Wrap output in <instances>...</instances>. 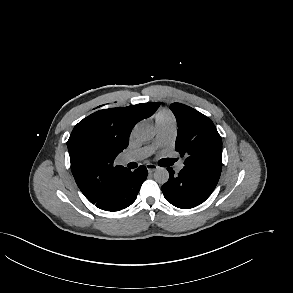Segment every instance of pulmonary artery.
Listing matches in <instances>:
<instances>
[{
	"instance_id": "pulmonary-artery-1",
	"label": "pulmonary artery",
	"mask_w": 293,
	"mask_h": 293,
	"mask_svg": "<svg viewBox=\"0 0 293 293\" xmlns=\"http://www.w3.org/2000/svg\"><path fill=\"white\" fill-rule=\"evenodd\" d=\"M157 129V142L159 144L165 143L169 140H171L176 132V126L175 125H170V126H156ZM153 152V148L152 147H144L141 149H138L128 155H125L122 158V163L126 164V163H130V162H137L140 160H143L145 158H147L151 153ZM184 164L183 163H179L177 165V169L181 170L183 169Z\"/></svg>"
}]
</instances>
